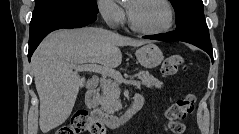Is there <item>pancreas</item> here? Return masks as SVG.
<instances>
[{
  "label": "pancreas",
  "mask_w": 239,
  "mask_h": 134,
  "mask_svg": "<svg viewBox=\"0 0 239 134\" xmlns=\"http://www.w3.org/2000/svg\"><path fill=\"white\" fill-rule=\"evenodd\" d=\"M142 82V85L147 88H162L163 83L149 72L141 71L137 74ZM118 81H106L102 84V97L101 106L104 111L113 114L122 108L121 101L119 100L120 88Z\"/></svg>",
  "instance_id": "cf45deb5"
}]
</instances>
